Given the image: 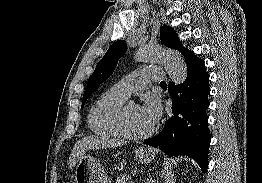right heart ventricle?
<instances>
[{
    "label": "right heart ventricle",
    "instance_id": "1",
    "mask_svg": "<svg viewBox=\"0 0 262 183\" xmlns=\"http://www.w3.org/2000/svg\"><path fill=\"white\" fill-rule=\"evenodd\" d=\"M126 98L113 88L104 92L89 110L88 126L90 130L101 137L121 138L122 135L116 125V116Z\"/></svg>",
    "mask_w": 262,
    "mask_h": 183
}]
</instances>
